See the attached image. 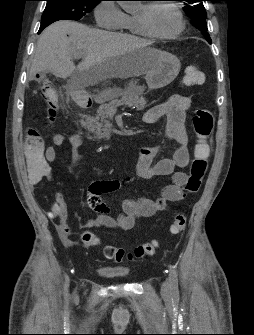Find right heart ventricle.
Listing matches in <instances>:
<instances>
[{
  "label": "right heart ventricle",
  "instance_id": "e07e8e85",
  "mask_svg": "<svg viewBox=\"0 0 254 335\" xmlns=\"http://www.w3.org/2000/svg\"><path fill=\"white\" fill-rule=\"evenodd\" d=\"M120 29L135 36H148L147 32L140 25L137 14H125Z\"/></svg>",
  "mask_w": 254,
  "mask_h": 335
}]
</instances>
